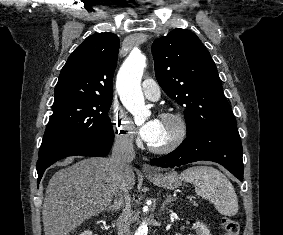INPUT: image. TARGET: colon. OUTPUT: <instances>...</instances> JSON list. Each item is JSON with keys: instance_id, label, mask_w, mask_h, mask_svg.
I'll list each match as a JSON object with an SVG mask.
<instances>
[{"instance_id": "colon-1", "label": "colon", "mask_w": 283, "mask_h": 235, "mask_svg": "<svg viewBox=\"0 0 283 235\" xmlns=\"http://www.w3.org/2000/svg\"><path fill=\"white\" fill-rule=\"evenodd\" d=\"M221 224L225 230L224 235H239L240 225L237 220L231 217H222Z\"/></svg>"}]
</instances>
